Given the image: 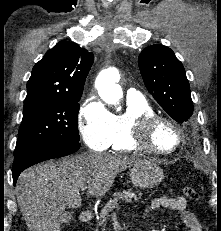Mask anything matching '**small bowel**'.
<instances>
[{"label":"small bowel","mask_w":221,"mask_h":231,"mask_svg":"<svg viewBox=\"0 0 221 231\" xmlns=\"http://www.w3.org/2000/svg\"><path fill=\"white\" fill-rule=\"evenodd\" d=\"M166 208L177 211L181 214V219L187 231H202L201 225L191 211L187 209V201L182 196H160L153 199L145 212L150 210Z\"/></svg>","instance_id":"c3829d8e"}]
</instances>
